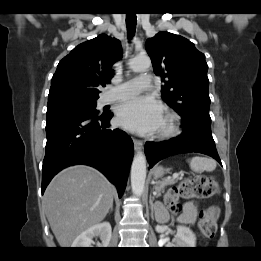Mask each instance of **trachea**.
<instances>
[{
    "label": "trachea",
    "instance_id": "1",
    "mask_svg": "<svg viewBox=\"0 0 261 261\" xmlns=\"http://www.w3.org/2000/svg\"><path fill=\"white\" fill-rule=\"evenodd\" d=\"M137 24V17L135 13H127L126 14V26L129 33V36H133L135 33Z\"/></svg>",
    "mask_w": 261,
    "mask_h": 261
}]
</instances>
